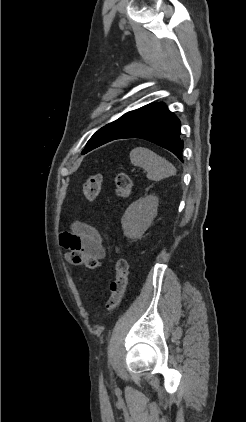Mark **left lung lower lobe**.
<instances>
[{"mask_svg": "<svg viewBox=\"0 0 246 422\" xmlns=\"http://www.w3.org/2000/svg\"><path fill=\"white\" fill-rule=\"evenodd\" d=\"M180 134L179 119L160 102L116 139H145L171 151L183 161Z\"/></svg>", "mask_w": 246, "mask_h": 422, "instance_id": "obj_1", "label": "left lung lower lobe"}]
</instances>
